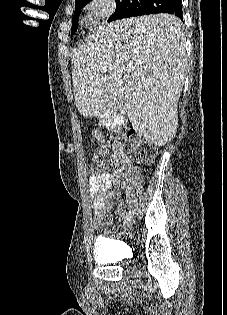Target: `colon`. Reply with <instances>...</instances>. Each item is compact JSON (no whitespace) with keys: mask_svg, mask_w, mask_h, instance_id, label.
<instances>
[{"mask_svg":"<svg viewBox=\"0 0 227 315\" xmlns=\"http://www.w3.org/2000/svg\"><path fill=\"white\" fill-rule=\"evenodd\" d=\"M91 136L94 140L100 141L101 135L98 131H92ZM115 137L124 141L125 148L132 153L136 160L140 162H151L157 155L156 146L140 137L133 131L115 132ZM107 165L105 154L98 150L94 153L91 167L94 171H100Z\"/></svg>","mask_w":227,"mask_h":315,"instance_id":"obj_1","label":"colon"}]
</instances>
